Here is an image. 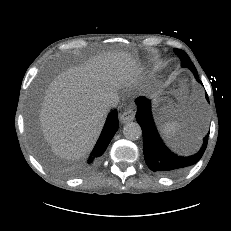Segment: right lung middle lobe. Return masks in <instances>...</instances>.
<instances>
[{"label": "right lung middle lobe", "instance_id": "right-lung-middle-lobe-1", "mask_svg": "<svg viewBox=\"0 0 231 231\" xmlns=\"http://www.w3.org/2000/svg\"><path fill=\"white\" fill-rule=\"evenodd\" d=\"M32 133H34V136H36V134H37L35 131H32Z\"/></svg>", "mask_w": 231, "mask_h": 231}]
</instances>
